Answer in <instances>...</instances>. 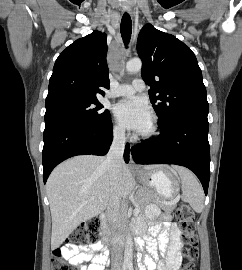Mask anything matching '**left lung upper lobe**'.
Listing matches in <instances>:
<instances>
[{
  "instance_id": "5c2ea615",
  "label": "left lung upper lobe",
  "mask_w": 242,
  "mask_h": 270,
  "mask_svg": "<svg viewBox=\"0 0 242 270\" xmlns=\"http://www.w3.org/2000/svg\"><path fill=\"white\" fill-rule=\"evenodd\" d=\"M137 52L159 127L184 115H208L202 72L187 45L146 24L138 35Z\"/></svg>"
}]
</instances>
